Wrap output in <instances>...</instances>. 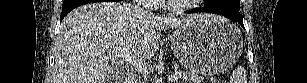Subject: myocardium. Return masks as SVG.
<instances>
[{"label": "myocardium", "instance_id": "1", "mask_svg": "<svg viewBox=\"0 0 307 83\" xmlns=\"http://www.w3.org/2000/svg\"><path fill=\"white\" fill-rule=\"evenodd\" d=\"M200 2V0H192L185 3H172L170 1L162 2L161 8L168 11L169 13L179 14L189 11L193 4Z\"/></svg>", "mask_w": 307, "mask_h": 83}]
</instances>
